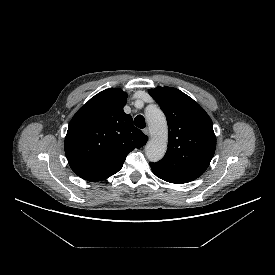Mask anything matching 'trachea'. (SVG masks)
<instances>
[{
  "instance_id": "1",
  "label": "trachea",
  "mask_w": 275,
  "mask_h": 275,
  "mask_svg": "<svg viewBox=\"0 0 275 275\" xmlns=\"http://www.w3.org/2000/svg\"><path fill=\"white\" fill-rule=\"evenodd\" d=\"M134 125L141 129L146 127L145 118L143 117V115H137L135 117Z\"/></svg>"
}]
</instances>
